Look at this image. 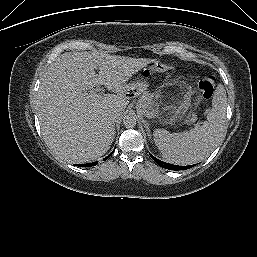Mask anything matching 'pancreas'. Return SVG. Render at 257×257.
<instances>
[{
  "instance_id": "cf45deb5",
  "label": "pancreas",
  "mask_w": 257,
  "mask_h": 257,
  "mask_svg": "<svg viewBox=\"0 0 257 257\" xmlns=\"http://www.w3.org/2000/svg\"><path fill=\"white\" fill-rule=\"evenodd\" d=\"M139 106L142 109L150 110L152 115L157 117L160 114L158 103L155 100V95L153 93H149L147 91L143 92L140 95V99L138 101ZM197 119L194 113L188 116V119L185 120L186 123L195 122Z\"/></svg>"
}]
</instances>
